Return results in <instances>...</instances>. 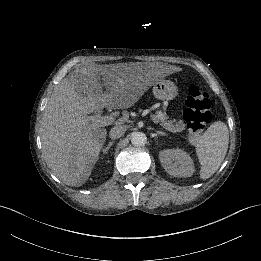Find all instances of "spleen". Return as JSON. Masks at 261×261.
Masks as SVG:
<instances>
[{"instance_id": "3e777b00", "label": "spleen", "mask_w": 261, "mask_h": 261, "mask_svg": "<svg viewBox=\"0 0 261 261\" xmlns=\"http://www.w3.org/2000/svg\"><path fill=\"white\" fill-rule=\"evenodd\" d=\"M228 143L227 125L221 119L211 123L195 146L200 179H209L219 169L227 153Z\"/></svg>"}]
</instances>
